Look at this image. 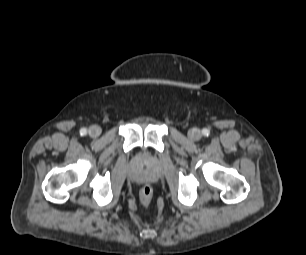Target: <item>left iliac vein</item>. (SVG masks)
<instances>
[{
  "label": "left iliac vein",
  "mask_w": 306,
  "mask_h": 255,
  "mask_svg": "<svg viewBox=\"0 0 306 255\" xmlns=\"http://www.w3.org/2000/svg\"><path fill=\"white\" fill-rule=\"evenodd\" d=\"M188 136L190 139L192 140H199L201 139L202 137V133L200 132V130L198 129H191L189 132H188Z\"/></svg>",
  "instance_id": "obj_1"
}]
</instances>
